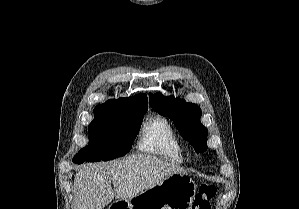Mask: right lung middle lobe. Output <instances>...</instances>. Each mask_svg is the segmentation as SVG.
Masks as SVG:
<instances>
[{"label": "right lung middle lobe", "instance_id": "1", "mask_svg": "<svg viewBox=\"0 0 299 209\" xmlns=\"http://www.w3.org/2000/svg\"><path fill=\"white\" fill-rule=\"evenodd\" d=\"M145 113L94 114L88 127L89 145L75 155L73 162L107 161L124 156L132 147Z\"/></svg>", "mask_w": 299, "mask_h": 209}]
</instances>
